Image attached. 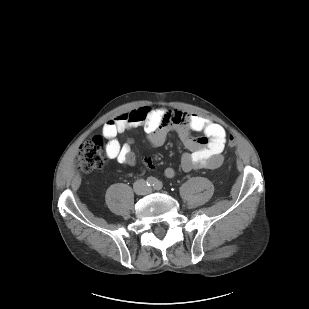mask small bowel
Listing matches in <instances>:
<instances>
[{"label":"small bowel","instance_id":"obj_1","mask_svg":"<svg viewBox=\"0 0 309 309\" xmlns=\"http://www.w3.org/2000/svg\"><path fill=\"white\" fill-rule=\"evenodd\" d=\"M137 127L145 130L147 141L152 147L161 146L171 132H176L188 150L182 155L180 162L184 172L216 169L224 161L226 133L220 125L189 112L151 106L125 112L104 125L102 135L107 139L105 151L110 159H116L128 166L136 164V156L132 150L133 141L127 140L121 144L116 136ZM193 132L202 133L203 136L193 138ZM146 165L148 168H154L151 160H147ZM164 174L172 178L175 171L168 167Z\"/></svg>","mask_w":309,"mask_h":309}]
</instances>
